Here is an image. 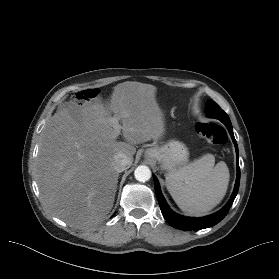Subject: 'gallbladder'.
Segmentation results:
<instances>
[{
	"instance_id": "gallbladder-1",
	"label": "gallbladder",
	"mask_w": 279,
	"mask_h": 279,
	"mask_svg": "<svg viewBox=\"0 0 279 279\" xmlns=\"http://www.w3.org/2000/svg\"><path fill=\"white\" fill-rule=\"evenodd\" d=\"M63 106H66V105H63ZM72 115H73V117H74L75 119H77L78 114H76V113L73 112Z\"/></svg>"
}]
</instances>
